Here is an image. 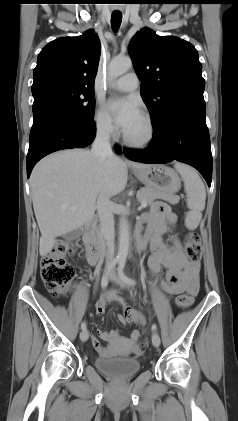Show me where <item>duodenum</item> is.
Returning <instances> with one entry per match:
<instances>
[{"label": "duodenum", "mask_w": 238, "mask_h": 421, "mask_svg": "<svg viewBox=\"0 0 238 421\" xmlns=\"http://www.w3.org/2000/svg\"><path fill=\"white\" fill-rule=\"evenodd\" d=\"M83 242L88 262L92 265L97 264L102 255V246L98 239L95 219H91L87 222L83 234ZM146 244L147 238L138 232L135 242L137 251H143L146 247Z\"/></svg>", "instance_id": "obj_1"}]
</instances>
